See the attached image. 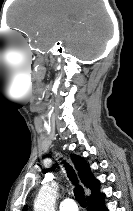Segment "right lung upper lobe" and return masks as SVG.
Masks as SVG:
<instances>
[{"label": "right lung upper lobe", "mask_w": 133, "mask_h": 211, "mask_svg": "<svg viewBox=\"0 0 133 211\" xmlns=\"http://www.w3.org/2000/svg\"><path fill=\"white\" fill-rule=\"evenodd\" d=\"M71 157L82 184L91 189V195L87 197V201H95L102 198L104 194L100 192V182L92 175L88 163L84 158L75 154H72ZM23 211H26V207H24Z\"/></svg>", "instance_id": "right-lung-upper-lobe-1"}]
</instances>
